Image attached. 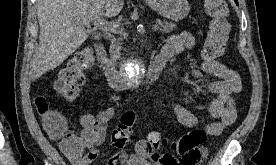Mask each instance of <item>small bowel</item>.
I'll return each mask as SVG.
<instances>
[{
    "mask_svg": "<svg viewBox=\"0 0 276 165\" xmlns=\"http://www.w3.org/2000/svg\"><path fill=\"white\" fill-rule=\"evenodd\" d=\"M195 44L194 36L183 31L168 38L162 48L160 55L167 61L180 54L185 49L193 47ZM202 71L211 74L217 80L206 84L205 89L216 95L212 101L209 114L212 121L205 126L206 132L211 136L219 135L223 129L236 120L237 112L232 96L241 91L240 75L224 64L216 60H205L202 63ZM194 78L199 79L201 73L197 70L192 72ZM173 112L183 126L193 129L199 125L197 116L188 110L180 102H175ZM114 114V109L109 107L100 110L96 114L84 113L78 118L82 127L79 134L68 131L78 142L79 148L76 152L62 151L67 155L73 165H90L99 156L98 146L103 144L107 135L108 122ZM87 152L83 154V150ZM137 158L149 162L151 165H199L206 157V150L200 149L197 155L175 157L171 154L153 155L141 152L137 149ZM136 158H130L123 149H118L116 153L108 159L107 165H128Z\"/></svg>",
    "mask_w": 276,
    "mask_h": 165,
    "instance_id": "1",
    "label": "small bowel"
}]
</instances>
